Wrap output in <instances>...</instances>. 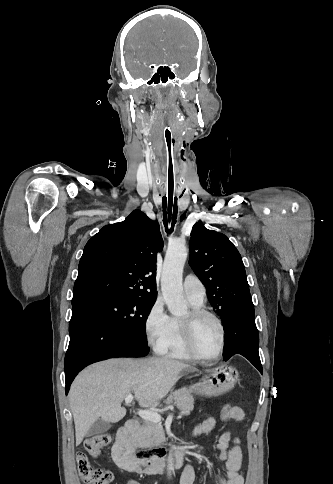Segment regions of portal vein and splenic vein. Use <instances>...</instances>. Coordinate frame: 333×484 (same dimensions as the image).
<instances>
[{
  "label": "portal vein and splenic vein",
  "instance_id": "1",
  "mask_svg": "<svg viewBox=\"0 0 333 484\" xmlns=\"http://www.w3.org/2000/svg\"><path fill=\"white\" fill-rule=\"evenodd\" d=\"M133 400V395L129 394L125 397V403H131ZM138 415L146 420V421H151L154 423H160L161 422V415L158 414L156 411H150V410H140L138 411ZM183 417L182 414H180L177 418L181 419Z\"/></svg>",
  "mask_w": 333,
  "mask_h": 484
}]
</instances>
